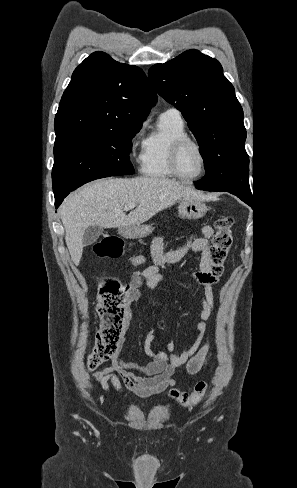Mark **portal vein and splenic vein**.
Returning a JSON list of instances; mask_svg holds the SVG:
<instances>
[{
  "instance_id": "18ae733b",
  "label": "portal vein and splenic vein",
  "mask_w": 297,
  "mask_h": 488,
  "mask_svg": "<svg viewBox=\"0 0 297 488\" xmlns=\"http://www.w3.org/2000/svg\"><path fill=\"white\" fill-rule=\"evenodd\" d=\"M135 207H136V204H134V203H129V204L124 206L125 210L134 209Z\"/></svg>"
}]
</instances>
